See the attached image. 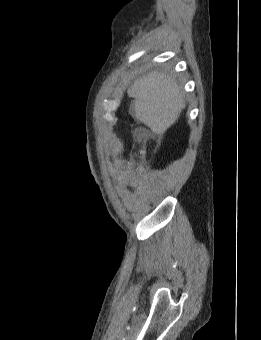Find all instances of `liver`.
<instances>
[{
  "mask_svg": "<svg viewBox=\"0 0 261 340\" xmlns=\"http://www.w3.org/2000/svg\"><path fill=\"white\" fill-rule=\"evenodd\" d=\"M128 93L134 98V118L159 135L178 120L186 107L182 87L166 72L154 71L141 76Z\"/></svg>",
  "mask_w": 261,
  "mask_h": 340,
  "instance_id": "1",
  "label": "liver"
}]
</instances>
